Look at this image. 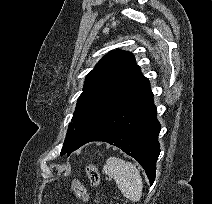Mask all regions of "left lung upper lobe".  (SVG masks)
<instances>
[{
  "mask_svg": "<svg viewBox=\"0 0 212 204\" xmlns=\"http://www.w3.org/2000/svg\"><path fill=\"white\" fill-rule=\"evenodd\" d=\"M147 81L131 53L116 50L104 56L85 79L61 155L68 153L78 135Z\"/></svg>",
  "mask_w": 212,
  "mask_h": 204,
  "instance_id": "left-lung-upper-lobe-1",
  "label": "left lung upper lobe"
}]
</instances>
